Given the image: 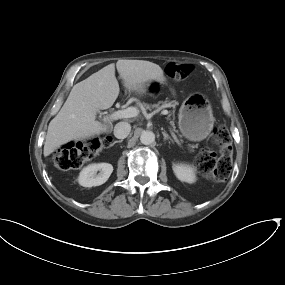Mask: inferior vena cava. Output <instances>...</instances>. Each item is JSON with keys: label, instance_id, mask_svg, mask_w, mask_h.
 <instances>
[{"label": "inferior vena cava", "instance_id": "obj_1", "mask_svg": "<svg viewBox=\"0 0 285 285\" xmlns=\"http://www.w3.org/2000/svg\"><path fill=\"white\" fill-rule=\"evenodd\" d=\"M131 131V125L128 122H119L114 127V136L118 139L126 138Z\"/></svg>", "mask_w": 285, "mask_h": 285}]
</instances>
